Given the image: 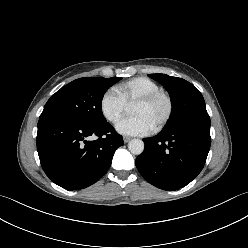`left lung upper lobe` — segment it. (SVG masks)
<instances>
[{"label":"left lung upper lobe","mask_w":248,"mask_h":248,"mask_svg":"<svg viewBox=\"0 0 248 248\" xmlns=\"http://www.w3.org/2000/svg\"><path fill=\"white\" fill-rule=\"evenodd\" d=\"M169 92L172 112L162 131L171 130L191 119L208 115L205 101L199 90L188 81L166 74H150Z\"/></svg>","instance_id":"obj_1"}]
</instances>
